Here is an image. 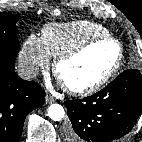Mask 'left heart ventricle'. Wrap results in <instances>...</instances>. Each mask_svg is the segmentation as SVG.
<instances>
[{
  "mask_svg": "<svg viewBox=\"0 0 142 142\" xmlns=\"http://www.w3.org/2000/svg\"><path fill=\"white\" fill-rule=\"evenodd\" d=\"M117 53L116 45L111 42L93 46L82 55L62 64V82L72 87H84L95 82L111 68Z\"/></svg>",
  "mask_w": 142,
  "mask_h": 142,
  "instance_id": "left-heart-ventricle-1",
  "label": "left heart ventricle"
}]
</instances>
